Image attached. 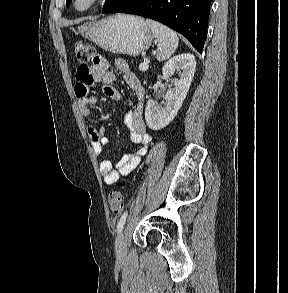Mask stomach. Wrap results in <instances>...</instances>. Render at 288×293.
I'll use <instances>...</instances> for the list:
<instances>
[{
    "label": "stomach",
    "instance_id": "stomach-1",
    "mask_svg": "<svg viewBox=\"0 0 288 293\" xmlns=\"http://www.w3.org/2000/svg\"><path fill=\"white\" fill-rule=\"evenodd\" d=\"M79 33L102 49L137 56L147 50L153 40L150 27L138 16L116 14L99 21L86 22Z\"/></svg>",
    "mask_w": 288,
    "mask_h": 293
}]
</instances>
